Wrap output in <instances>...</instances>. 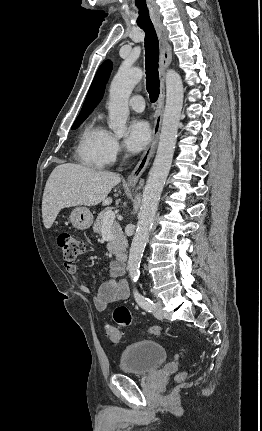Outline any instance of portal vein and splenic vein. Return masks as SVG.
I'll return each instance as SVG.
<instances>
[{
  "instance_id": "obj_1",
  "label": "portal vein and splenic vein",
  "mask_w": 262,
  "mask_h": 431,
  "mask_svg": "<svg viewBox=\"0 0 262 431\" xmlns=\"http://www.w3.org/2000/svg\"><path fill=\"white\" fill-rule=\"evenodd\" d=\"M114 219H115V213L113 211H107L103 219V226L112 224Z\"/></svg>"
}]
</instances>
